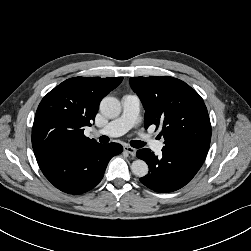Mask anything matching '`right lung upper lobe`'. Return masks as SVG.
<instances>
[{"label":"right lung upper lobe","instance_id":"1","mask_svg":"<svg viewBox=\"0 0 251 251\" xmlns=\"http://www.w3.org/2000/svg\"><path fill=\"white\" fill-rule=\"evenodd\" d=\"M123 77L65 80L44 96L36 111L32 146L36 158L97 145L84 135L91 126L101 100Z\"/></svg>","mask_w":251,"mask_h":251}]
</instances>
